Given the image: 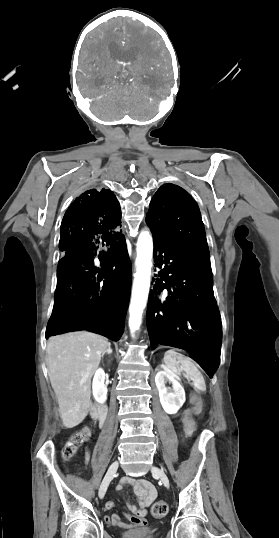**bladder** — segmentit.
Returning <instances> with one entry per match:
<instances>
[{"mask_svg":"<svg viewBox=\"0 0 279 538\" xmlns=\"http://www.w3.org/2000/svg\"><path fill=\"white\" fill-rule=\"evenodd\" d=\"M124 538H153L151 532H126Z\"/></svg>","mask_w":279,"mask_h":538,"instance_id":"1","label":"bladder"}]
</instances>
